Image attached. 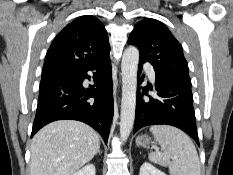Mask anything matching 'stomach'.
Listing matches in <instances>:
<instances>
[{
  "label": "stomach",
  "mask_w": 233,
  "mask_h": 175,
  "mask_svg": "<svg viewBox=\"0 0 233 175\" xmlns=\"http://www.w3.org/2000/svg\"><path fill=\"white\" fill-rule=\"evenodd\" d=\"M149 141H150V138H148V137L141 138L142 144H147V143H149Z\"/></svg>",
  "instance_id": "0dacf381"
}]
</instances>
